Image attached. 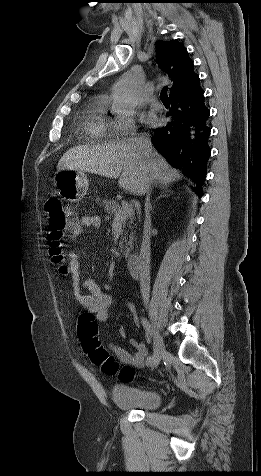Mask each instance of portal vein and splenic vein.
Wrapping results in <instances>:
<instances>
[{
    "mask_svg": "<svg viewBox=\"0 0 261 476\" xmlns=\"http://www.w3.org/2000/svg\"><path fill=\"white\" fill-rule=\"evenodd\" d=\"M132 214H134L133 205L127 202H123L121 210L119 211V213L116 214L114 219L116 221L123 220Z\"/></svg>",
    "mask_w": 261,
    "mask_h": 476,
    "instance_id": "obj_1",
    "label": "portal vein and splenic vein"
}]
</instances>
